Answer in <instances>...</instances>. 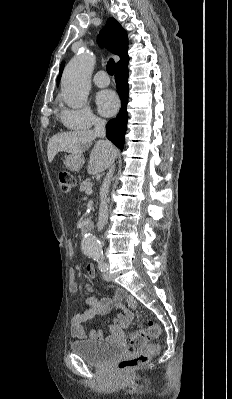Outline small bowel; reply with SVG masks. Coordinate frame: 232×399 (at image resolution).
Instances as JSON below:
<instances>
[{"label": "small bowel", "instance_id": "small-bowel-1", "mask_svg": "<svg viewBox=\"0 0 232 399\" xmlns=\"http://www.w3.org/2000/svg\"><path fill=\"white\" fill-rule=\"evenodd\" d=\"M68 248L70 256L73 257L76 253L75 243L70 241L68 243ZM97 276V271L93 270L91 272V278L95 280L97 279ZM69 289L71 299L76 300L80 297L78 280L74 271H70L69 274ZM111 291L114 294L116 300L125 298L127 303L129 304V308L120 307L122 317L118 318L110 325L109 332L104 333L92 331L88 334L81 325V323L89 317L108 312L111 309L113 303L108 299H104L101 301L97 300L93 296V289H86L85 294L88 296L85 300L86 307L81 313L75 314L72 317L69 327V334L76 338L78 344L98 345L104 340L112 339L118 332L129 327L132 319V309L136 307L135 297L133 294H126L118 288L111 287Z\"/></svg>", "mask_w": 232, "mask_h": 399}]
</instances>
